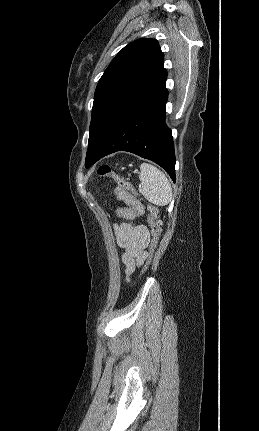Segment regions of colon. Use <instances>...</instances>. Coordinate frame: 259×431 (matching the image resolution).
<instances>
[{"label": "colon", "mask_w": 259, "mask_h": 431, "mask_svg": "<svg viewBox=\"0 0 259 431\" xmlns=\"http://www.w3.org/2000/svg\"><path fill=\"white\" fill-rule=\"evenodd\" d=\"M98 174L102 177H108L117 182L115 189L116 196L128 205L114 207V212L120 213L118 217L124 219L139 220L142 215L149 212L148 222L151 230L150 240V256L152 257L155 253L160 236L159 221H158V208L153 205L145 206L136 197L133 192L131 184L120 174L112 171L109 165L103 164L98 168ZM147 269V267H146ZM145 269V270H146Z\"/></svg>", "instance_id": "obj_1"}]
</instances>
